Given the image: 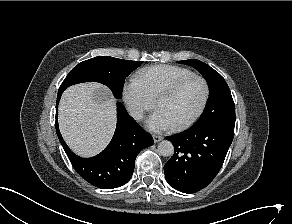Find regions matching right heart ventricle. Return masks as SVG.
<instances>
[{
	"instance_id": "right-heart-ventricle-1",
	"label": "right heart ventricle",
	"mask_w": 292,
	"mask_h": 224,
	"mask_svg": "<svg viewBox=\"0 0 292 224\" xmlns=\"http://www.w3.org/2000/svg\"><path fill=\"white\" fill-rule=\"evenodd\" d=\"M194 74L190 69L175 65H154L139 70L135 75L147 94L155 100L166 87L181 78Z\"/></svg>"
}]
</instances>
